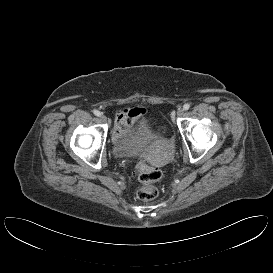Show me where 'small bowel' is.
Masks as SVG:
<instances>
[{
	"mask_svg": "<svg viewBox=\"0 0 273 273\" xmlns=\"http://www.w3.org/2000/svg\"><path fill=\"white\" fill-rule=\"evenodd\" d=\"M146 115L143 108H133L119 111L115 115V128L113 138L119 139L130 133L136 123L142 121Z\"/></svg>",
	"mask_w": 273,
	"mask_h": 273,
	"instance_id": "small-bowel-1",
	"label": "small bowel"
}]
</instances>
